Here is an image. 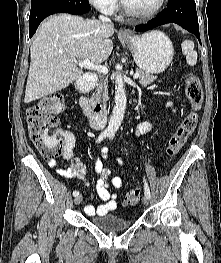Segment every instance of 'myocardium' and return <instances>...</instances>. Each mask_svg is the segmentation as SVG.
Instances as JSON below:
<instances>
[{"label": "myocardium", "instance_id": "f54148a6", "mask_svg": "<svg viewBox=\"0 0 221 263\" xmlns=\"http://www.w3.org/2000/svg\"><path fill=\"white\" fill-rule=\"evenodd\" d=\"M166 0H160L156 7L148 11H138L133 9L126 0H121L123 9L127 14L137 18H149L159 13L165 5Z\"/></svg>", "mask_w": 221, "mask_h": 263}]
</instances>
